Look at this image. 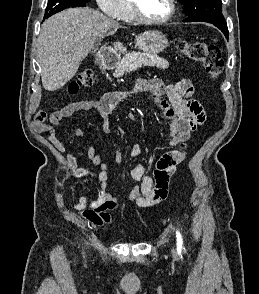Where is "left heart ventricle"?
<instances>
[{
	"instance_id": "1",
	"label": "left heart ventricle",
	"mask_w": 259,
	"mask_h": 294,
	"mask_svg": "<svg viewBox=\"0 0 259 294\" xmlns=\"http://www.w3.org/2000/svg\"><path fill=\"white\" fill-rule=\"evenodd\" d=\"M143 14L151 19H160L169 11L168 0H137Z\"/></svg>"
}]
</instances>
